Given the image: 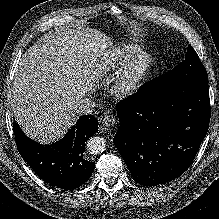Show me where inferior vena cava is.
<instances>
[{
	"label": "inferior vena cava",
	"instance_id": "602c4592",
	"mask_svg": "<svg viewBox=\"0 0 219 219\" xmlns=\"http://www.w3.org/2000/svg\"><path fill=\"white\" fill-rule=\"evenodd\" d=\"M93 108L94 103L92 99L89 98L81 99L74 105V111L80 115L91 114L93 112Z\"/></svg>",
	"mask_w": 219,
	"mask_h": 219
}]
</instances>
